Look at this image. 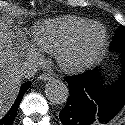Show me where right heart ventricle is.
Instances as JSON below:
<instances>
[{
  "label": "right heart ventricle",
  "instance_id": "e07e8e85",
  "mask_svg": "<svg viewBox=\"0 0 125 125\" xmlns=\"http://www.w3.org/2000/svg\"><path fill=\"white\" fill-rule=\"evenodd\" d=\"M89 22L77 16L39 22L32 29V43L39 52L56 53L65 41Z\"/></svg>",
  "mask_w": 125,
  "mask_h": 125
}]
</instances>
